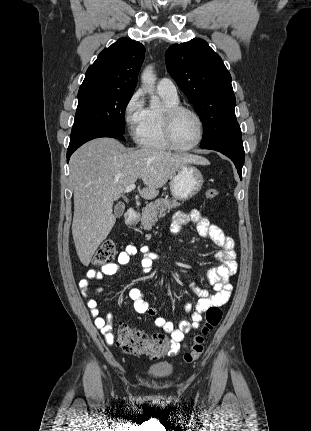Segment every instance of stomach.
<instances>
[{"instance_id":"obj_1","label":"stomach","mask_w":311,"mask_h":431,"mask_svg":"<svg viewBox=\"0 0 311 431\" xmlns=\"http://www.w3.org/2000/svg\"><path fill=\"white\" fill-rule=\"evenodd\" d=\"M204 184V178L195 166H182L170 180V194L178 202H186L196 196Z\"/></svg>"}]
</instances>
